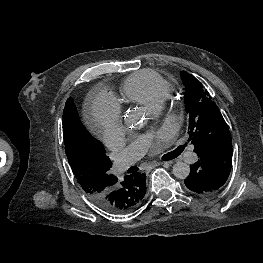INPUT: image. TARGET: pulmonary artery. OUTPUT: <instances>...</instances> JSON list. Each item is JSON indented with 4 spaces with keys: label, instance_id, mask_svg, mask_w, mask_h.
Returning <instances> with one entry per match:
<instances>
[{
    "label": "pulmonary artery",
    "instance_id": "1",
    "mask_svg": "<svg viewBox=\"0 0 263 263\" xmlns=\"http://www.w3.org/2000/svg\"><path fill=\"white\" fill-rule=\"evenodd\" d=\"M161 109V105L155 106L152 111L158 113ZM148 147V141L146 138H142L133 142L127 148H125L117 157L114 165L115 173L119 174L124 172L129 166L141 158L146 152ZM186 161L193 163L197 161V154L194 151V147H190L186 153Z\"/></svg>",
    "mask_w": 263,
    "mask_h": 263
}]
</instances>
